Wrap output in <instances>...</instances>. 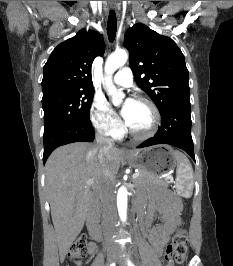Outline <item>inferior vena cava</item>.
<instances>
[{
  "label": "inferior vena cava",
  "mask_w": 233,
  "mask_h": 266,
  "mask_svg": "<svg viewBox=\"0 0 233 266\" xmlns=\"http://www.w3.org/2000/svg\"><path fill=\"white\" fill-rule=\"evenodd\" d=\"M96 142L99 149L98 158L102 161L108 152L114 147L113 139L109 138L103 130L96 135ZM102 197V223L106 231L112 233L116 226V205L113 179L107 177L101 184Z\"/></svg>",
  "instance_id": "1"
}]
</instances>
